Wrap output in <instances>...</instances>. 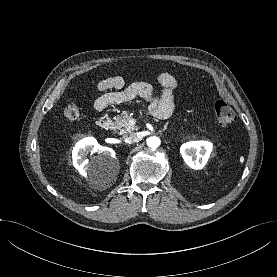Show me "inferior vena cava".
<instances>
[{"label": "inferior vena cava", "instance_id": "1", "mask_svg": "<svg viewBox=\"0 0 277 277\" xmlns=\"http://www.w3.org/2000/svg\"><path fill=\"white\" fill-rule=\"evenodd\" d=\"M123 139L126 143H133L138 140V136L135 133L123 135Z\"/></svg>", "mask_w": 277, "mask_h": 277}]
</instances>
